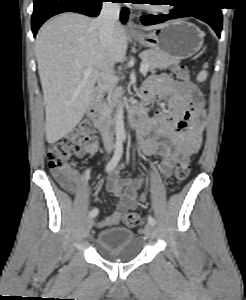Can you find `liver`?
Segmentation results:
<instances>
[{
	"instance_id": "6515ba94",
	"label": "liver",
	"mask_w": 246,
	"mask_h": 300,
	"mask_svg": "<svg viewBox=\"0 0 246 300\" xmlns=\"http://www.w3.org/2000/svg\"><path fill=\"white\" fill-rule=\"evenodd\" d=\"M163 24L143 27L146 31ZM127 36L117 23L110 49H103L94 20L78 13H63L45 23L35 41V55L46 111L45 132L49 144L70 133L83 118L94 85L110 63L122 62ZM91 69L89 76L83 72Z\"/></svg>"
}]
</instances>
